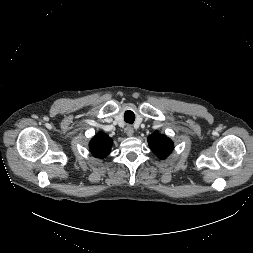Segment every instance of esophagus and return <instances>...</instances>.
<instances>
[{"label": "esophagus", "instance_id": "obj_1", "mask_svg": "<svg viewBox=\"0 0 253 253\" xmlns=\"http://www.w3.org/2000/svg\"><path fill=\"white\" fill-rule=\"evenodd\" d=\"M125 132H126L127 136H129V137L134 135V129L131 125H127Z\"/></svg>", "mask_w": 253, "mask_h": 253}]
</instances>
